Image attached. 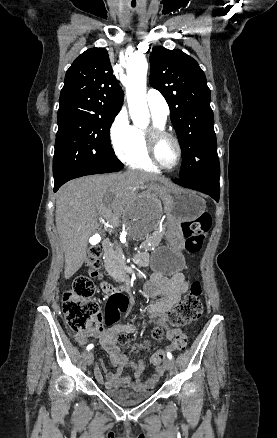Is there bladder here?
<instances>
[{
  "label": "bladder",
  "instance_id": "1",
  "mask_svg": "<svg viewBox=\"0 0 277 438\" xmlns=\"http://www.w3.org/2000/svg\"><path fill=\"white\" fill-rule=\"evenodd\" d=\"M105 397L115 404L125 407L140 405L148 400L153 394V390H126L121 388H106L103 390Z\"/></svg>",
  "mask_w": 277,
  "mask_h": 438
}]
</instances>
